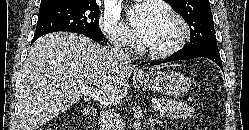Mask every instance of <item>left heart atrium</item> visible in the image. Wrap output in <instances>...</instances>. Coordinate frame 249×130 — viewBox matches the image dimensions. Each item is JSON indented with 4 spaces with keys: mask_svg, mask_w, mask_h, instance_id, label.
<instances>
[{
    "mask_svg": "<svg viewBox=\"0 0 249 130\" xmlns=\"http://www.w3.org/2000/svg\"><path fill=\"white\" fill-rule=\"evenodd\" d=\"M128 18L140 40L146 44L161 20L162 13L157 5L145 3L132 7Z\"/></svg>",
    "mask_w": 249,
    "mask_h": 130,
    "instance_id": "39dd6f15",
    "label": "left heart atrium"
}]
</instances>
